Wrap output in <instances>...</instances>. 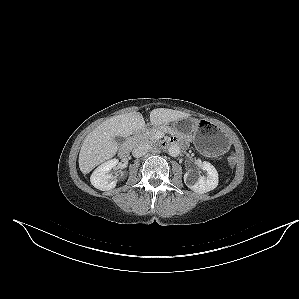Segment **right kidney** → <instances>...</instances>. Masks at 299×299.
<instances>
[{
	"instance_id": "obj_1",
	"label": "right kidney",
	"mask_w": 299,
	"mask_h": 299,
	"mask_svg": "<svg viewBox=\"0 0 299 299\" xmlns=\"http://www.w3.org/2000/svg\"><path fill=\"white\" fill-rule=\"evenodd\" d=\"M118 163V159H111L101 164L92 173L90 178L91 184L101 191H108L115 188L117 181L113 180V176L109 172L115 168Z\"/></svg>"
}]
</instances>
